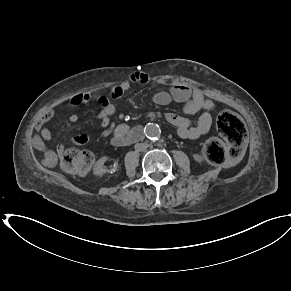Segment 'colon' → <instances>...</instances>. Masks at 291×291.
<instances>
[{
    "instance_id": "obj_1",
    "label": "colon",
    "mask_w": 291,
    "mask_h": 291,
    "mask_svg": "<svg viewBox=\"0 0 291 291\" xmlns=\"http://www.w3.org/2000/svg\"><path fill=\"white\" fill-rule=\"evenodd\" d=\"M217 129L225 139L210 138L204 146V156L209 163L224 165L240 156L247 130L240 117L229 110L221 111L216 120ZM95 157L90 150L71 148L61 155L62 168L71 174L86 175Z\"/></svg>"
}]
</instances>
